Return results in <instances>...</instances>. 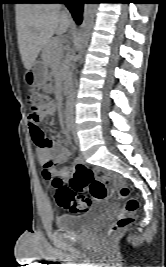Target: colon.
I'll return each instance as SVG.
<instances>
[{
    "instance_id": "1",
    "label": "colon",
    "mask_w": 166,
    "mask_h": 267,
    "mask_svg": "<svg viewBox=\"0 0 166 267\" xmlns=\"http://www.w3.org/2000/svg\"><path fill=\"white\" fill-rule=\"evenodd\" d=\"M28 102L31 108L30 116L38 119L39 116L52 106L51 98L39 91H32L28 95ZM35 137L38 143L44 144L45 137L42 130H36ZM45 170L50 172L51 165H46ZM119 182L118 177L110 173H104L97 177L94 170L81 162L73 166V175L69 180V186L65 184L64 178L56 176L52 179V186L55 190V201L61 208L68 209L72 213H85L90 209L92 200L90 197L81 194L88 189L90 195L96 200L108 199L111 191L108 185H116ZM118 196L125 200L123 209L116 220L110 223L105 229L106 239L113 238L121 229L133 222V215L138 209V200L130 196V188L127 185H121L115 190Z\"/></svg>"
}]
</instances>
